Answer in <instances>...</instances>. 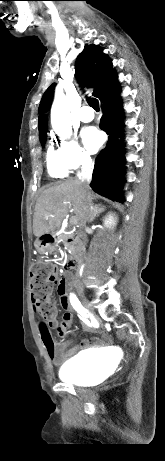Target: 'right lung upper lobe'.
<instances>
[{
    "mask_svg": "<svg viewBox=\"0 0 165 461\" xmlns=\"http://www.w3.org/2000/svg\"><path fill=\"white\" fill-rule=\"evenodd\" d=\"M75 72L87 87H94L93 95L98 97L102 103L111 100L120 91L117 74L111 61L96 45H85L76 59ZM54 87L55 84H52L45 91L39 105V114L49 109ZM46 123V116L40 115L38 122L40 137L46 134Z\"/></svg>",
    "mask_w": 165,
    "mask_h": 461,
    "instance_id": "1",
    "label": "right lung upper lobe"
}]
</instances>
